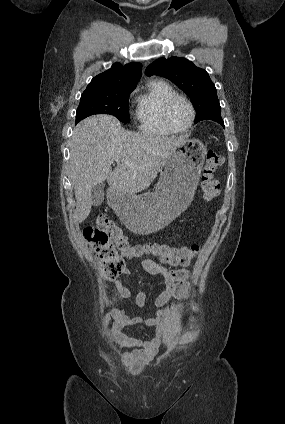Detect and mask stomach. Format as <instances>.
<instances>
[{
	"label": "stomach",
	"instance_id": "obj_1",
	"mask_svg": "<svg viewBox=\"0 0 285 424\" xmlns=\"http://www.w3.org/2000/svg\"><path fill=\"white\" fill-rule=\"evenodd\" d=\"M205 155L206 147L201 142L187 140L162 165L155 191L140 195L111 193L109 205L131 231L140 234L159 231L191 204Z\"/></svg>",
	"mask_w": 285,
	"mask_h": 424
}]
</instances>
